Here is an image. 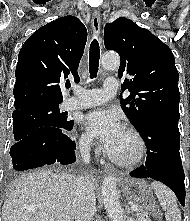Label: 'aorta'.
<instances>
[{"label": "aorta", "instance_id": "1", "mask_svg": "<svg viewBox=\"0 0 190 221\" xmlns=\"http://www.w3.org/2000/svg\"><path fill=\"white\" fill-rule=\"evenodd\" d=\"M101 64L104 69L113 70L119 67L120 58L117 54H105L102 57ZM101 194L104 207L111 221H126L124 211L120 205L116 181L112 175L104 178Z\"/></svg>", "mask_w": 190, "mask_h": 221}]
</instances>
